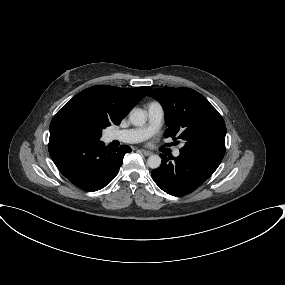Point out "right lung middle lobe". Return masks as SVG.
<instances>
[{
    "label": "right lung middle lobe",
    "mask_w": 285,
    "mask_h": 285,
    "mask_svg": "<svg viewBox=\"0 0 285 285\" xmlns=\"http://www.w3.org/2000/svg\"><path fill=\"white\" fill-rule=\"evenodd\" d=\"M103 126H96L80 121H73L67 124L65 132L73 134L83 140L97 142L100 140Z\"/></svg>",
    "instance_id": "right-lung-middle-lobe-1"
}]
</instances>
